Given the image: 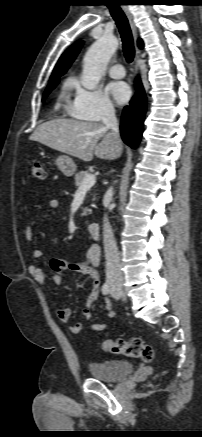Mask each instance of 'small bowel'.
<instances>
[{"mask_svg": "<svg viewBox=\"0 0 202 437\" xmlns=\"http://www.w3.org/2000/svg\"><path fill=\"white\" fill-rule=\"evenodd\" d=\"M60 207V202L57 199H52L49 201V208L51 210H57ZM25 238L28 241H31L33 238V226L32 223L29 222L25 228ZM43 252L39 249H35L32 252V256L35 259L41 258ZM99 263V251L95 246H91L84 260L79 262H68L61 259H51L49 261V267L52 273V280L56 285H61L63 282L64 273L67 271L78 272L82 274H86L89 277V281L91 282V292L86 300L85 307L81 310L80 319L75 323L70 325V331L72 333H78L82 329V320H90L92 315L90 312L91 306L97 300L100 293V281L99 275L96 270V267ZM29 274L30 276L39 284L43 285L45 283V274L41 267L36 264H32L29 266ZM105 301V310L106 314L109 318L115 317V311L112 309L111 304L108 299H104ZM57 317L60 321L64 323H69L72 317V312L68 307H60L56 311ZM91 329L94 331H103L106 329V324L104 323H92Z\"/></svg>", "mask_w": 202, "mask_h": 437, "instance_id": "obj_1", "label": "small bowel"}]
</instances>
